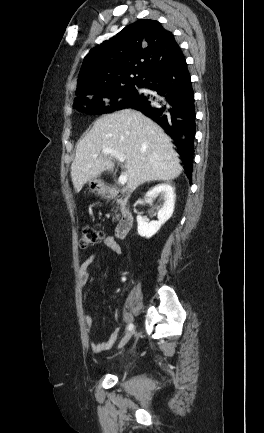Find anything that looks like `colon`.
<instances>
[{
	"label": "colon",
	"instance_id": "colon-1",
	"mask_svg": "<svg viewBox=\"0 0 264 433\" xmlns=\"http://www.w3.org/2000/svg\"><path fill=\"white\" fill-rule=\"evenodd\" d=\"M104 235L98 229L86 227L83 229L80 237V245L82 248H89L103 241Z\"/></svg>",
	"mask_w": 264,
	"mask_h": 433
}]
</instances>
